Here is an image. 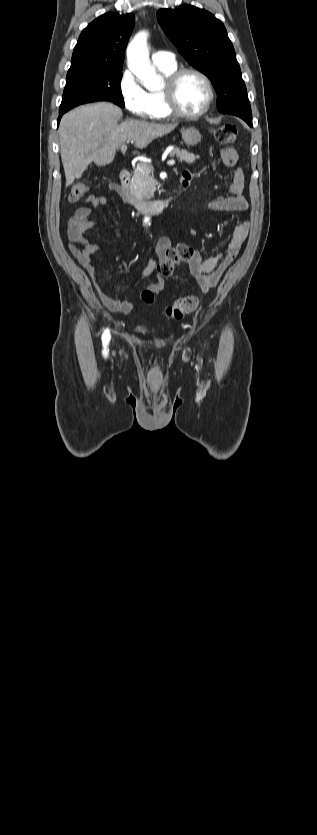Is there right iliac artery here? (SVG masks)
Wrapping results in <instances>:
<instances>
[{"label": "right iliac artery", "instance_id": "1", "mask_svg": "<svg viewBox=\"0 0 317 835\" xmlns=\"http://www.w3.org/2000/svg\"><path fill=\"white\" fill-rule=\"evenodd\" d=\"M102 341H103L104 348H105V349H104V354H106V353H107V351H106V346L108 345V343H109V341H110V333H109V330H108V329H106V330L104 331V333H103V335H102Z\"/></svg>", "mask_w": 317, "mask_h": 835}]
</instances>
